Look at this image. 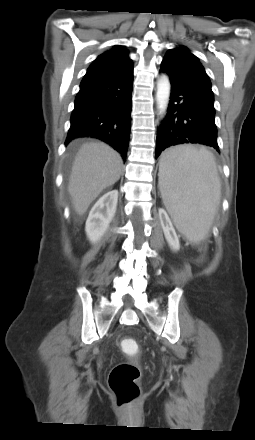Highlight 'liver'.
Wrapping results in <instances>:
<instances>
[{
    "label": "liver",
    "mask_w": 255,
    "mask_h": 440,
    "mask_svg": "<svg viewBox=\"0 0 255 440\" xmlns=\"http://www.w3.org/2000/svg\"><path fill=\"white\" fill-rule=\"evenodd\" d=\"M122 166L120 154L103 142L92 141L80 147L68 185L78 215H83L104 189L119 180Z\"/></svg>",
    "instance_id": "obj_1"
}]
</instances>
